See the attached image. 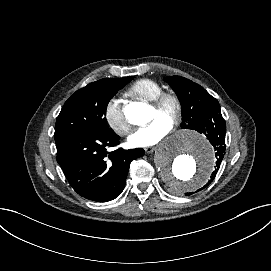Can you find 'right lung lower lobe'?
<instances>
[{
  "mask_svg": "<svg viewBox=\"0 0 271 271\" xmlns=\"http://www.w3.org/2000/svg\"><path fill=\"white\" fill-rule=\"evenodd\" d=\"M114 133H74L56 140L57 162L69 184L80 196L107 202L123 191L132 160L144 150L117 149L107 154V146L118 145Z\"/></svg>",
  "mask_w": 271,
  "mask_h": 271,
  "instance_id": "obj_1",
  "label": "right lung lower lobe"
}]
</instances>
